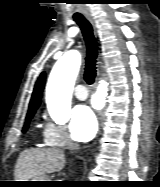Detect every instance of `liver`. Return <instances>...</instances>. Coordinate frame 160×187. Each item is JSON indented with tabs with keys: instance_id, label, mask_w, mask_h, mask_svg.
<instances>
[{
	"instance_id": "liver-1",
	"label": "liver",
	"mask_w": 160,
	"mask_h": 187,
	"mask_svg": "<svg viewBox=\"0 0 160 187\" xmlns=\"http://www.w3.org/2000/svg\"><path fill=\"white\" fill-rule=\"evenodd\" d=\"M65 155L60 149H29L18 157L15 181H29L46 174L57 172L65 166Z\"/></svg>"
}]
</instances>
